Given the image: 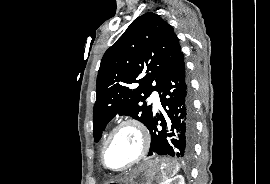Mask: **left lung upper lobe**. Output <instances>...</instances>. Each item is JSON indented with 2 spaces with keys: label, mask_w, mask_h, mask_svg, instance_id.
Here are the masks:
<instances>
[{
  "label": "left lung upper lobe",
  "mask_w": 270,
  "mask_h": 184,
  "mask_svg": "<svg viewBox=\"0 0 270 184\" xmlns=\"http://www.w3.org/2000/svg\"><path fill=\"white\" fill-rule=\"evenodd\" d=\"M180 53L173 28L157 14L145 13L128 26L101 60L93 110L96 142L117 114L129 115L149 126L152 106L143 101L158 91ZM135 83H139L137 88Z\"/></svg>",
  "instance_id": "obj_1"
}]
</instances>
